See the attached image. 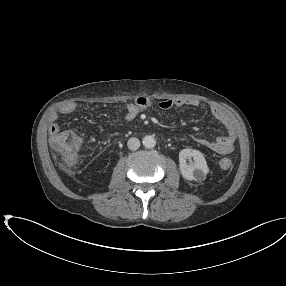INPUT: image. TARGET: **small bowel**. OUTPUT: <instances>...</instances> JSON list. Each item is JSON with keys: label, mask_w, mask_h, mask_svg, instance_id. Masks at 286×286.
I'll list each match as a JSON object with an SVG mask.
<instances>
[{"label": "small bowel", "mask_w": 286, "mask_h": 286, "mask_svg": "<svg viewBox=\"0 0 286 286\" xmlns=\"http://www.w3.org/2000/svg\"><path fill=\"white\" fill-rule=\"evenodd\" d=\"M185 105L197 107L199 105V102L197 100L165 99L158 103V107L164 111L178 109ZM152 106L153 103L150 99L146 97L136 98L132 103H129L126 106V113L124 117L125 121H133L142 111L148 110L152 108ZM76 107L77 106L75 103H67L61 106L60 109L52 115L51 124L49 128L51 136L58 133L60 130V126L57 122L58 117L72 114L76 110ZM210 113L217 121H219L222 125L225 126L227 130L226 134L214 140H208L199 137H193V139L200 146L209 149L215 153L221 155L230 154L234 150L237 140L233 121L230 115L224 109L218 106H211Z\"/></svg>", "instance_id": "1"}]
</instances>
